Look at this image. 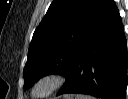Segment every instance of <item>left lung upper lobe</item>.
I'll use <instances>...</instances> for the list:
<instances>
[{"label":"left lung upper lobe","instance_id":"left-lung-upper-lobe-1","mask_svg":"<svg viewBox=\"0 0 128 99\" xmlns=\"http://www.w3.org/2000/svg\"><path fill=\"white\" fill-rule=\"evenodd\" d=\"M109 0H54L35 30L24 88L49 74L64 75L86 45Z\"/></svg>","mask_w":128,"mask_h":99}]
</instances>
